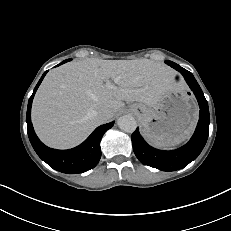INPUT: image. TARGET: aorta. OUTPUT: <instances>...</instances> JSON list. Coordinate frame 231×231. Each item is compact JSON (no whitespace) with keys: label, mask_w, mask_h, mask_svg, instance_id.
<instances>
[{"label":"aorta","mask_w":231,"mask_h":231,"mask_svg":"<svg viewBox=\"0 0 231 231\" xmlns=\"http://www.w3.org/2000/svg\"><path fill=\"white\" fill-rule=\"evenodd\" d=\"M117 124L121 130L127 133H132L137 127L136 120L130 115H123L119 117Z\"/></svg>","instance_id":"762f6f07"}]
</instances>
